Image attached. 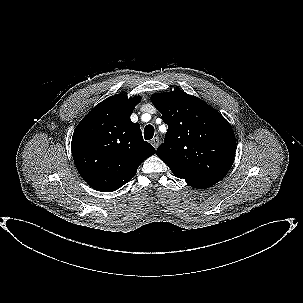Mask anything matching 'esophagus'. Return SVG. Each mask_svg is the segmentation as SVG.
Wrapping results in <instances>:
<instances>
[{
    "mask_svg": "<svg viewBox=\"0 0 303 303\" xmlns=\"http://www.w3.org/2000/svg\"><path fill=\"white\" fill-rule=\"evenodd\" d=\"M151 144L154 148H157L158 145H159V138L158 137H154L152 140H151Z\"/></svg>",
    "mask_w": 303,
    "mask_h": 303,
    "instance_id": "obj_1",
    "label": "esophagus"
}]
</instances>
